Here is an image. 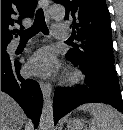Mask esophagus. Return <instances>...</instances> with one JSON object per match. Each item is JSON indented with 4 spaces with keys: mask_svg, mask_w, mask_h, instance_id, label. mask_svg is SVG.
<instances>
[{
    "mask_svg": "<svg viewBox=\"0 0 123 130\" xmlns=\"http://www.w3.org/2000/svg\"><path fill=\"white\" fill-rule=\"evenodd\" d=\"M39 3H40V6L42 7V9L44 11L46 20L49 21V19H50V16H49V1L48 0H40ZM39 85H40V88H41L42 93L44 95V98H46V99L49 98L51 93H52L51 85L47 82H44V81H39Z\"/></svg>",
    "mask_w": 123,
    "mask_h": 130,
    "instance_id": "1",
    "label": "esophagus"
}]
</instances>
